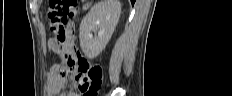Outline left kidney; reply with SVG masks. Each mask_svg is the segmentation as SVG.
I'll list each match as a JSON object with an SVG mask.
<instances>
[{"label": "left kidney", "instance_id": "obj_1", "mask_svg": "<svg viewBox=\"0 0 232 96\" xmlns=\"http://www.w3.org/2000/svg\"><path fill=\"white\" fill-rule=\"evenodd\" d=\"M121 13L119 0L95 4L80 24V46L89 59L97 57L109 42ZM94 34H97L93 36Z\"/></svg>", "mask_w": 232, "mask_h": 96}]
</instances>
